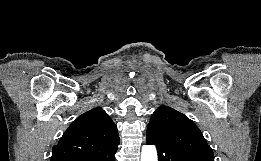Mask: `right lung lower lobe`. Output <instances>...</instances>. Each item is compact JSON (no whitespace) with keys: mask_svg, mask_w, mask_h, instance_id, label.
Here are the masks:
<instances>
[{"mask_svg":"<svg viewBox=\"0 0 261 161\" xmlns=\"http://www.w3.org/2000/svg\"><path fill=\"white\" fill-rule=\"evenodd\" d=\"M117 148L118 146L100 153L79 156L69 161H115L114 155L117 152Z\"/></svg>","mask_w":261,"mask_h":161,"instance_id":"1","label":"right lung lower lobe"}]
</instances>
